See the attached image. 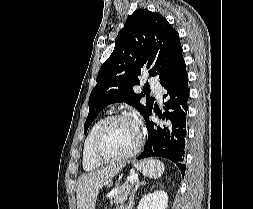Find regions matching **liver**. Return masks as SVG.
Listing matches in <instances>:
<instances>
[{
	"label": "liver",
	"instance_id": "6515ba94",
	"mask_svg": "<svg viewBox=\"0 0 253 209\" xmlns=\"http://www.w3.org/2000/svg\"><path fill=\"white\" fill-rule=\"evenodd\" d=\"M122 166H107L84 174L78 179L76 188L77 209H95L100 188L116 175Z\"/></svg>",
	"mask_w": 253,
	"mask_h": 209
}]
</instances>
